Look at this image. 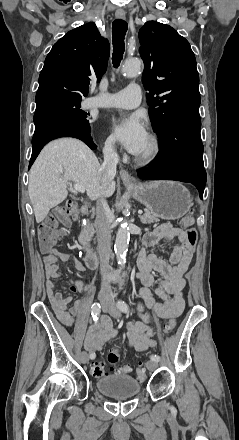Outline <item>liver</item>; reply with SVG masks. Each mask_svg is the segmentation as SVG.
Instances as JSON below:
<instances>
[{"label":"liver","mask_w":239,"mask_h":440,"mask_svg":"<svg viewBox=\"0 0 239 440\" xmlns=\"http://www.w3.org/2000/svg\"><path fill=\"white\" fill-rule=\"evenodd\" d=\"M100 168L94 152L80 140L49 142L29 172L28 192L37 224L51 208L66 200L69 182L83 186L89 200L113 196L116 182L103 184Z\"/></svg>","instance_id":"obj_1"}]
</instances>
